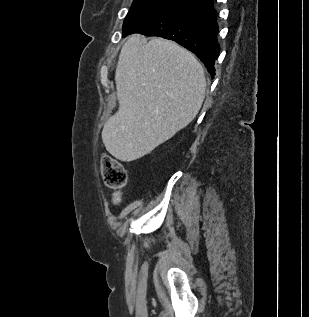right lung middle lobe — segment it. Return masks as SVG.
Wrapping results in <instances>:
<instances>
[{"instance_id":"1","label":"right lung middle lobe","mask_w":309,"mask_h":317,"mask_svg":"<svg viewBox=\"0 0 309 317\" xmlns=\"http://www.w3.org/2000/svg\"><path fill=\"white\" fill-rule=\"evenodd\" d=\"M176 1L178 0H134L125 18L123 32L128 30L139 18Z\"/></svg>"}]
</instances>
